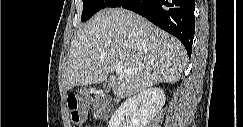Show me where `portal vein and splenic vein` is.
I'll use <instances>...</instances> for the list:
<instances>
[{
    "mask_svg": "<svg viewBox=\"0 0 243 127\" xmlns=\"http://www.w3.org/2000/svg\"><path fill=\"white\" fill-rule=\"evenodd\" d=\"M112 68H113V70L116 72V73H122V72H125V73H127V74H130V73H132V71L131 70H126L125 68H124V66L122 65V64H120V63H113L112 64Z\"/></svg>",
    "mask_w": 243,
    "mask_h": 127,
    "instance_id": "18ae733b",
    "label": "portal vein and splenic vein"
}]
</instances>
